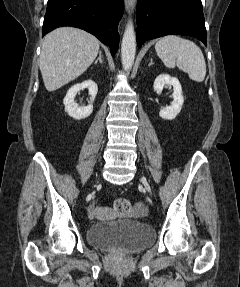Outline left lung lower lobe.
<instances>
[{"instance_id":"left-lung-lower-lobe-1","label":"left lung lower lobe","mask_w":240,"mask_h":287,"mask_svg":"<svg viewBox=\"0 0 240 287\" xmlns=\"http://www.w3.org/2000/svg\"><path fill=\"white\" fill-rule=\"evenodd\" d=\"M137 44L168 34L193 36L207 46L201 0H137Z\"/></svg>"}]
</instances>
